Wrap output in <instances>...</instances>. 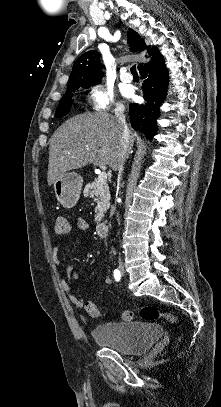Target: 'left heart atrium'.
<instances>
[{"label":"left heart atrium","mask_w":221,"mask_h":407,"mask_svg":"<svg viewBox=\"0 0 221 407\" xmlns=\"http://www.w3.org/2000/svg\"><path fill=\"white\" fill-rule=\"evenodd\" d=\"M127 94H131V91H127Z\"/></svg>","instance_id":"1"}]
</instances>
